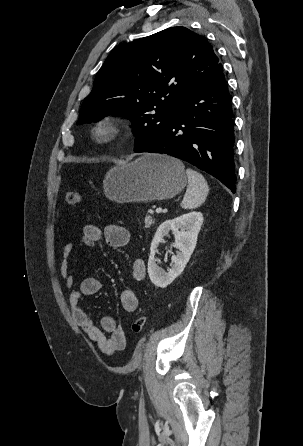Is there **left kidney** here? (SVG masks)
<instances>
[{
    "mask_svg": "<svg viewBox=\"0 0 303 446\" xmlns=\"http://www.w3.org/2000/svg\"><path fill=\"white\" fill-rule=\"evenodd\" d=\"M202 223V213L194 211L172 220H166L158 227L151 243L148 260V274L154 285L165 288L183 272L196 247ZM170 230H172L175 237L173 247L177 248L179 252L177 255H172L171 269L165 272L157 265L155 254L159 244L163 241V237L168 236Z\"/></svg>",
    "mask_w": 303,
    "mask_h": 446,
    "instance_id": "5707ae66",
    "label": "left kidney"
}]
</instances>
